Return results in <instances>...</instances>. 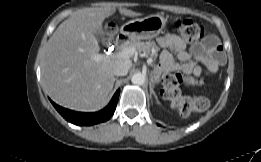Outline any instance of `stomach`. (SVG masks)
<instances>
[{
  "label": "stomach",
  "instance_id": "obj_1",
  "mask_svg": "<svg viewBox=\"0 0 261 162\" xmlns=\"http://www.w3.org/2000/svg\"><path fill=\"white\" fill-rule=\"evenodd\" d=\"M167 20L159 14L130 20L125 23L120 32L132 41L152 39L158 36L166 26Z\"/></svg>",
  "mask_w": 261,
  "mask_h": 162
}]
</instances>
